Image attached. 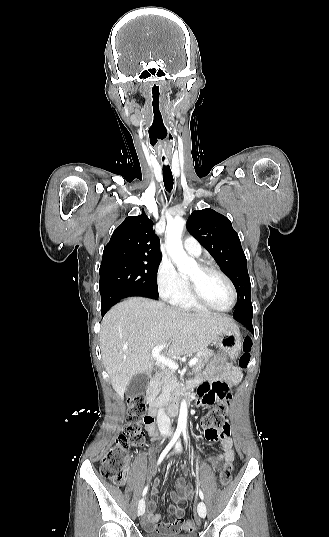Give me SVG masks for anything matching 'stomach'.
Masks as SVG:
<instances>
[{"label": "stomach", "instance_id": "stomach-1", "mask_svg": "<svg viewBox=\"0 0 329 537\" xmlns=\"http://www.w3.org/2000/svg\"><path fill=\"white\" fill-rule=\"evenodd\" d=\"M218 346L225 351L231 359H235L241 351V335L235 325L223 331L216 340Z\"/></svg>", "mask_w": 329, "mask_h": 537}]
</instances>
